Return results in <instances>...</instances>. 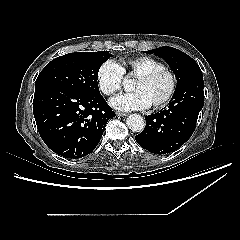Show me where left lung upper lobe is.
Instances as JSON below:
<instances>
[{
	"mask_svg": "<svg viewBox=\"0 0 240 240\" xmlns=\"http://www.w3.org/2000/svg\"><path fill=\"white\" fill-rule=\"evenodd\" d=\"M162 57L177 78V87L195 78H203L197 63L182 51L172 47H160L149 51Z\"/></svg>",
	"mask_w": 240,
	"mask_h": 240,
	"instance_id": "obj_1",
	"label": "left lung upper lobe"
}]
</instances>
